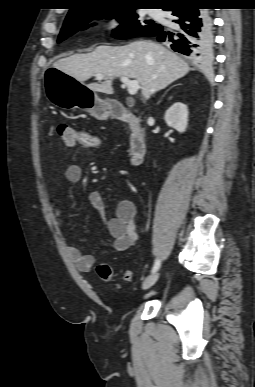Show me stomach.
Here are the masks:
<instances>
[{"mask_svg": "<svg viewBox=\"0 0 255 387\" xmlns=\"http://www.w3.org/2000/svg\"><path fill=\"white\" fill-rule=\"evenodd\" d=\"M46 96L63 109L80 108L98 120H106L111 113L110 100H103L96 92L67 75L64 70H43Z\"/></svg>", "mask_w": 255, "mask_h": 387, "instance_id": "1", "label": "stomach"}]
</instances>
